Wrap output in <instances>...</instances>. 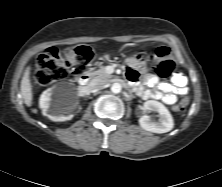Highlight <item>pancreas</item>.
<instances>
[{"label":"pancreas","mask_w":222,"mask_h":187,"mask_svg":"<svg viewBox=\"0 0 222 187\" xmlns=\"http://www.w3.org/2000/svg\"><path fill=\"white\" fill-rule=\"evenodd\" d=\"M93 76H97V77L104 78V79H109V78L113 77L112 75H110L106 72L105 67H102L101 69H99L97 71H94Z\"/></svg>","instance_id":"obj_1"}]
</instances>
